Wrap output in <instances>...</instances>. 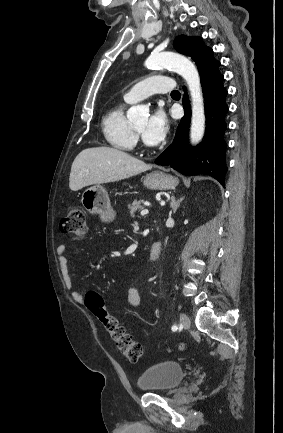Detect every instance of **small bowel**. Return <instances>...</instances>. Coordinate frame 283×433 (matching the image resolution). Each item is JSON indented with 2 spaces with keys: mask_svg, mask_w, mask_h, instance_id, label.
I'll use <instances>...</instances> for the list:
<instances>
[{
  "mask_svg": "<svg viewBox=\"0 0 283 433\" xmlns=\"http://www.w3.org/2000/svg\"><path fill=\"white\" fill-rule=\"evenodd\" d=\"M57 259L59 263L60 272L64 283L68 289L72 288V279L69 272V263L67 257V246L62 244L59 245L56 249ZM72 299L76 303H83L84 297L78 291L72 292ZM127 299L131 306L139 307L141 305V292L140 287L136 284L131 285L127 291Z\"/></svg>",
  "mask_w": 283,
  "mask_h": 433,
  "instance_id": "small-bowel-1",
  "label": "small bowel"
}]
</instances>
